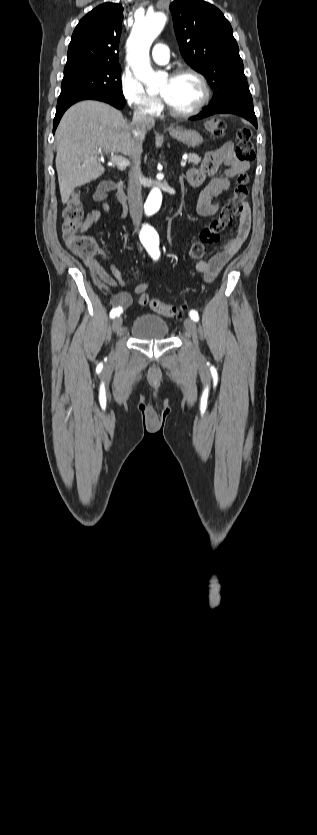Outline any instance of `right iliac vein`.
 Wrapping results in <instances>:
<instances>
[{
    "label": "right iliac vein",
    "instance_id": "obj_1",
    "mask_svg": "<svg viewBox=\"0 0 317 835\" xmlns=\"http://www.w3.org/2000/svg\"><path fill=\"white\" fill-rule=\"evenodd\" d=\"M121 326H122V318L119 317V316L114 318V320L112 322L113 332L118 334L120 329H121Z\"/></svg>",
    "mask_w": 317,
    "mask_h": 835
}]
</instances>
